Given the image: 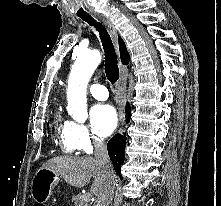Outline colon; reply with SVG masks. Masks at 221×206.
I'll return each mask as SVG.
<instances>
[{
	"instance_id": "5ec220e1",
	"label": "colon",
	"mask_w": 221,
	"mask_h": 206,
	"mask_svg": "<svg viewBox=\"0 0 221 206\" xmlns=\"http://www.w3.org/2000/svg\"><path fill=\"white\" fill-rule=\"evenodd\" d=\"M34 206H42L41 204H35Z\"/></svg>"
}]
</instances>
